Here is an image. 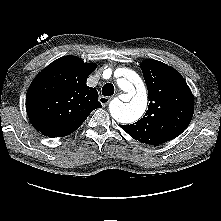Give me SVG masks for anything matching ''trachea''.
<instances>
[{
    "label": "trachea",
    "mask_w": 221,
    "mask_h": 221,
    "mask_svg": "<svg viewBox=\"0 0 221 221\" xmlns=\"http://www.w3.org/2000/svg\"><path fill=\"white\" fill-rule=\"evenodd\" d=\"M114 86L111 83H107L102 88V95L111 96L114 94Z\"/></svg>",
    "instance_id": "3493384b"
}]
</instances>
